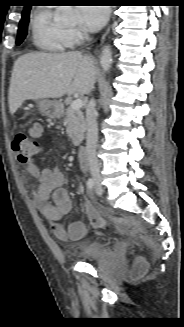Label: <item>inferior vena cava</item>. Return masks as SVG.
Wrapping results in <instances>:
<instances>
[{"label": "inferior vena cava", "mask_w": 184, "mask_h": 327, "mask_svg": "<svg viewBox=\"0 0 184 327\" xmlns=\"http://www.w3.org/2000/svg\"><path fill=\"white\" fill-rule=\"evenodd\" d=\"M95 100L91 99L86 109L87 137L86 155L90 174L94 181H100V165L97 158L98 126L96 120Z\"/></svg>", "instance_id": "inferior-vena-cava-1"}]
</instances>
